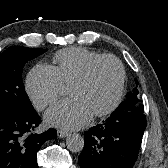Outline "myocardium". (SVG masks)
<instances>
[{
	"mask_svg": "<svg viewBox=\"0 0 168 168\" xmlns=\"http://www.w3.org/2000/svg\"><path fill=\"white\" fill-rule=\"evenodd\" d=\"M105 60H111L113 62H115V64L118 67V71H119V79H118V85H117V90L116 93L113 97V99L111 100V102L103 109L93 113V116L95 117H102V116H106L110 113H112L117 106L119 105L123 94H124V89H125V81H126V71H125V67L122 63V61L115 55L112 54H102L98 57H96L95 59L91 60L86 67L83 69V71L71 82V85L74 84H81L86 82L89 77L91 76L94 68L102 61Z\"/></svg>",
	"mask_w": 168,
	"mask_h": 168,
	"instance_id": "obj_1",
	"label": "myocardium"
}]
</instances>
